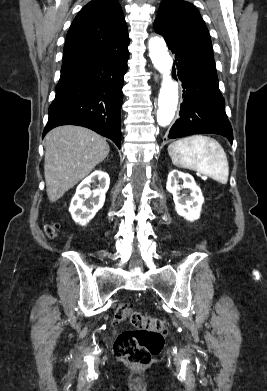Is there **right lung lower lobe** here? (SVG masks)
Listing matches in <instances>:
<instances>
[{
	"instance_id": "obj_1",
	"label": "right lung lower lobe",
	"mask_w": 267,
	"mask_h": 391,
	"mask_svg": "<svg viewBox=\"0 0 267 391\" xmlns=\"http://www.w3.org/2000/svg\"><path fill=\"white\" fill-rule=\"evenodd\" d=\"M128 57L126 48L62 71L43 137L57 126L79 125L111 139L120 148Z\"/></svg>"
}]
</instances>
